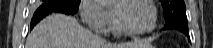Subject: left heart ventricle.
<instances>
[{
  "mask_svg": "<svg viewBox=\"0 0 213 48\" xmlns=\"http://www.w3.org/2000/svg\"><path fill=\"white\" fill-rule=\"evenodd\" d=\"M114 11L118 12L124 23L133 30L143 31L152 24V11L143 2L118 3L114 6Z\"/></svg>",
  "mask_w": 213,
  "mask_h": 48,
  "instance_id": "1",
  "label": "left heart ventricle"
}]
</instances>
